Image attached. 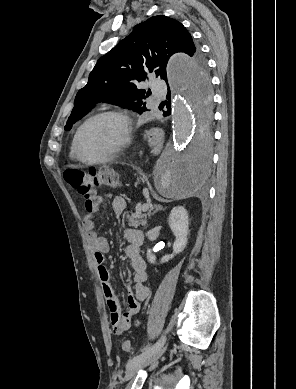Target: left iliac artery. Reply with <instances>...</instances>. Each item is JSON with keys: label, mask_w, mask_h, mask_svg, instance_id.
Segmentation results:
<instances>
[{"label": "left iliac artery", "mask_w": 296, "mask_h": 389, "mask_svg": "<svg viewBox=\"0 0 296 389\" xmlns=\"http://www.w3.org/2000/svg\"><path fill=\"white\" fill-rule=\"evenodd\" d=\"M165 340L166 338L162 337L153 346L145 348L141 354L130 359L126 365L127 369L139 363L141 360L153 355L158 350V348L164 344Z\"/></svg>", "instance_id": "1"}]
</instances>
